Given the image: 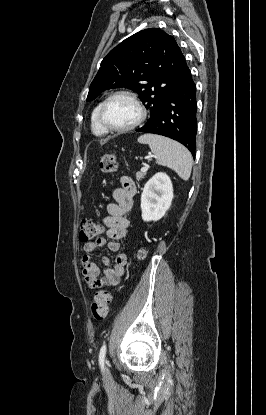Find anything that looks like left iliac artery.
Masks as SVG:
<instances>
[{
	"label": "left iliac artery",
	"mask_w": 266,
	"mask_h": 415,
	"mask_svg": "<svg viewBox=\"0 0 266 415\" xmlns=\"http://www.w3.org/2000/svg\"><path fill=\"white\" fill-rule=\"evenodd\" d=\"M106 349H107L106 344H103L101 349H100V353H99V364H100V367H101L102 370H104V361H105Z\"/></svg>",
	"instance_id": "obj_1"
}]
</instances>
